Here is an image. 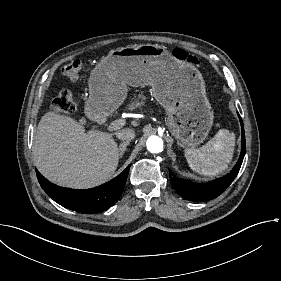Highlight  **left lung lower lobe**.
I'll use <instances>...</instances> for the list:
<instances>
[{"label": "left lung lower lobe", "instance_id": "1", "mask_svg": "<svg viewBox=\"0 0 281 281\" xmlns=\"http://www.w3.org/2000/svg\"><path fill=\"white\" fill-rule=\"evenodd\" d=\"M238 116L242 127V140H241L242 146H241L240 158L234 169L228 175L220 179L210 181L208 183H194L185 179L177 178L174 176L171 170H169L170 183L180 196L190 201H196V202L208 201L213 198H216L222 192H224L228 188V186L232 183V181L235 179V177L237 176L240 170L245 155L244 127L239 113Z\"/></svg>", "mask_w": 281, "mask_h": 281}]
</instances>
